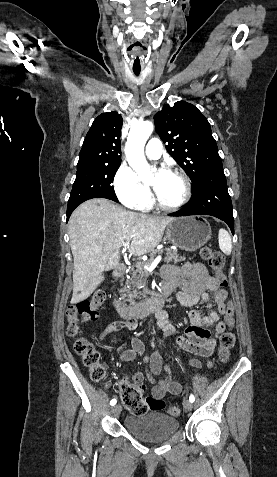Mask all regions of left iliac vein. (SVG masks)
<instances>
[{"label":"left iliac vein","mask_w":277,"mask_h":477,"mask_svg":"<svg viewBox=\"0 0 277 477\" xmlns=\"http://www.w3.org/2000/svg\"><path fill=\"white\" fill-rule=\"evenodd\" d=\"M183 407H184L185 410L190 411L193 408V404L190 400L184 399Z\"/></svg>","instance_id":"obj_1"}]
</instances>
